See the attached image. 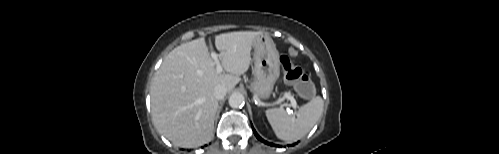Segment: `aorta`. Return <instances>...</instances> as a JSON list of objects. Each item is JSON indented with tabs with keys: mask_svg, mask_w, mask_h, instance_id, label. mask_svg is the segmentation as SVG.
Masks as SVG:
<instances>
[{
	"mask_svg": "<svg viewBox=\"0 0 499 154\" xmlns=\"http://www.w3.org/2000/svg\"><path fill=\"white\" fill-rule=\"evenodd\" d=\"M228 102L232 108H241L245 103V98L241 93L235 92L231 94Z\"/></svg>",
	"mask_w": 499,
	"mask_h": 154,
	"instance_id": "1",
	"label": "aorta"
}]
</instances>
